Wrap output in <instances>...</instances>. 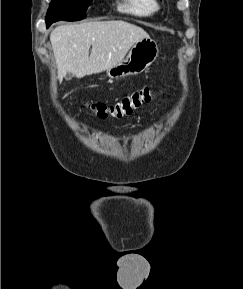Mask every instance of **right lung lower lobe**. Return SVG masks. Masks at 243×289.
I'll use <instances>...</instances> for the list:
<instances>
[{"label": "right lung lower lobe", "instance_id": "right-lung-lower-lobe-1", "mask_svg": "<svg viewBox=\"0 0 243 289\" xmlns=\"http://www.w3.org/2000/svg\"><path fill=\"white\" fill-rule=\"evenodd\" d=\"M51 24H52L51 22H46L47 28H48Z\"/></svg>", "mask_w": 243, "mask_h": 289}]
</instances>
